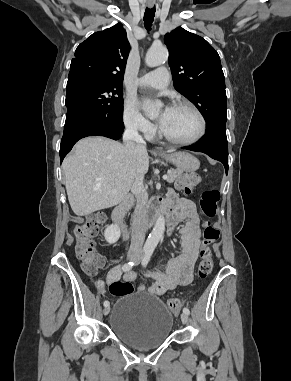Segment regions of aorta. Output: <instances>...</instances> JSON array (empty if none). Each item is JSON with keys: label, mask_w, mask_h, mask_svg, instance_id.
I'll return each instance as SVG.
<instances>
[{"label": "aorta", "mask_w": 291, "mask_h": 381, "mask_svg": "<svg viewBox=\"0 0 291 381\" xmlns=\"http://www.w3.org/2000/svg\"><path fill=\"white\" fill-rule=\"evenodd\" d=\"M168 59V50L164 46L151 47L145 57V62L149 67H156L161 65ZM160 105L149 104L147 113L150 117H153L158 114ZM165 231V219L164 216L160 215L153 227L152 232L149 234V237L146 241V248L154 250L162 238Z\"/></svg>", "instance_id": "aorta-1"}]
</instances>
